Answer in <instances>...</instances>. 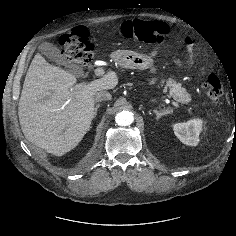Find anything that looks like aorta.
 Masks as SVG:
<instances>
[{
	"mask_svg": "<svg viewBox=\"0 0 236 236\" xmlns=\"http://www.w3.org/2000/svg\"><path fill=\"white\" fill-rule=\"evenodd\" d=\"M115 121L119 126H128L131 125L134 121V116L131 112L122 111L117 113Z\"/></svg>",
	"mask_w": 236,
	"mask_h": 236,
	"instance_id": "aorta-1",
	"label": "aorta"
}]
</instances>
